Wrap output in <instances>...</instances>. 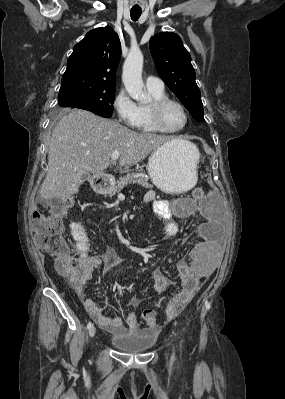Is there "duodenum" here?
<instances>
[{
	"instance_id": "obj_1",
	"label": "duodenum",
	"mask_w": 285,
	"mask_h": 399,
	"mask_svg": "<svg viewBox=\"0 0 285 399\" xmlns=\"http://www.w3.org/2000/svg\"><path fill=\"white\" fill-rule=\"evenodd\" d=\"M107 188H108L107 182H102L99 185L94 186L93 190L96 193H104V192H106Z\"/></svg>"
}]
</instances>
